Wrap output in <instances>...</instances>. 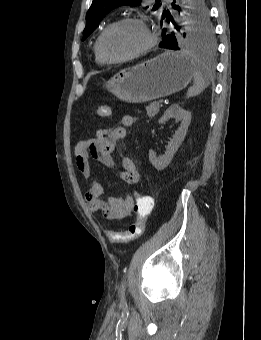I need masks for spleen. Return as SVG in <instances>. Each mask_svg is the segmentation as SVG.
<instances>
[{
  "mask_svg": "<svg viewBox=\"0 0 261 340\" xmlns=\"http://www.w3.org/2000/svg\"><path fill=\"white\" fill-rule=\"evenodd\" d=\"M194 62V73L193 77L195 84L188 89V97H193L200 94L209 84L210 73L209 71L199 62Z\"/></svg>",
  "mask_w": 261,
  "mask_h": 340,
  "instance_id": "3e777b00",
  "label": "spleen"
}]
</instances>
